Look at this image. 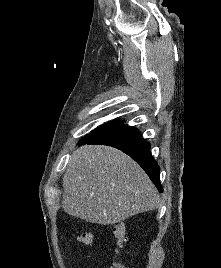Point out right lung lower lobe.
Segmentation results:
<instances>
[{
	"instance_id": "right-lung-lower-lobe-1",
	"label": "right lung lower lobe",
	"mask_w": 221,
	"mask_h": 268,
	"mask_svg": "<svg viewBox=\"0 0 221 268\" xmlns=\"http://www.w3.org/2000/svg\"><path fill=\"white\" fill-rule=\"evenodd\" d=\"M104 144L120 149L133 158L148 174L160 192V168L150 153L151 145L141 138L135 127L120 125L97 135L82 144Z\"/></svg>"
}]
</instances>
